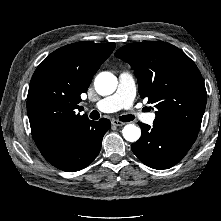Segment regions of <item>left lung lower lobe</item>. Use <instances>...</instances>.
Wrapping results in <instances>:
<instances>
[{
	"mask_svg": "<svg viewBox=\"0 0 221 221\" xmlns=\"http://www.w3.org/2000/svg\"><path fill=\"white\" fill-rule=\"evenodd\" d=\"M140 139L131 145L133 153L147 166L167 169L177 164L188 152L198 132L181 126L154 120L153 126L138 123Z\"/></svg>",
	"mask_w": 221,
	"mask_h": 221,
	"instance_id": "0a47b994",
	"label": "left lung lower lobe"
}]
</instances>
